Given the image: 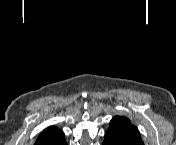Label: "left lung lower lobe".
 I'll use <instances>...</instances> for the list:
<instances>
[{"label": "left lung lower lobe", "instance_id": "0a47b994", "mask_svg": "<svg viewBox=\"0 0 176 145\" xmlns=\"http://www.w3.org/2000/svg\"><path fill=\"white\" fill-rule=\"evenodd\" d=\"M103 145H122V144L116 139H114L112 136L105 134Z\"/></svg>", "mask_w": 176, "mask_h": 145}]
</instances>
